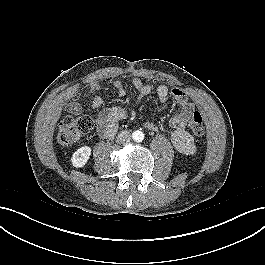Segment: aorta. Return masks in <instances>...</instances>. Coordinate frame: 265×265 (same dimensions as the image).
<instances>
[{
  "instance_id": "1",
  "label": "aorta",
  "mask_w": 265,
  "mask_h": 265,
  "mask_svg": "<svg viewBox=\"0 0 265 265\" xmlns=\"http://www.w3.org/2000/svg\"><path fill=\"white\" fill-rule=\"evenodd\" d=\"M132 138L136 142H141L144 139V134H143V132L137 130V131L133 132Z\"/></svg>"
}]
</instances>
